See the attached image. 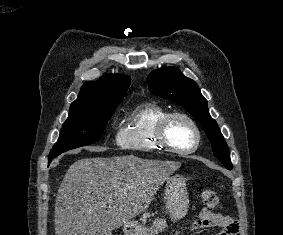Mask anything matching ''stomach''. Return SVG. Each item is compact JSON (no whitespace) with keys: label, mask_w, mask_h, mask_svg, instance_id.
Wrapping results in <instances>:
<instances>
[{"label":"stomach","mask_w":283,"mask_h":235,"mask_svg":"<svg viewBox=\"0 0 283 235\" xmlns=\"http://www.w3.org/2000/svg\"><path fill=\"white\" fill-rule=\"evenodd\" d=\"M164 192L166 207L171 220L182 219L189 209L186 179L180 174L168 177ZM166 227L167 223L163 218H156L150 227L141 225L137 221H130L123 225V232L124 235H157Z\"/></svg>","instance_id":"0dacf381"}]
</instances>
